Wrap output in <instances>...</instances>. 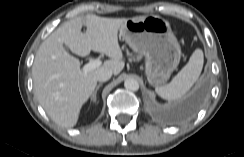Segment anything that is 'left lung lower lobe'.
<instances>
[{
  "label": "left lung lower lobe",
  "instance_id": "0a47b994",
  "mask_svg": "<svg viewBox=\"0 0 244 157\" xmlns=\"http://www.w3.org/2000/svg\"><path fill=\"white\" fill-rule=\"evenodd\" d=\"M203 98V92L197 91L185 98L178 107V116L185 118L194 114L199 108Z\"/></svg>",
  "mask_w": 244,
  "mask_h": 157
}]
</instances>
